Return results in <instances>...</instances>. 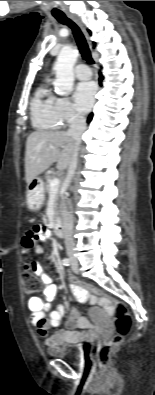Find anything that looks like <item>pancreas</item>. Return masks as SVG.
<instances>
[{
    "label": "pancreas",
    "mask_w": 155,
    "mask_h": 395,
    "mask_svg": "<svg viewBox=\"0 0 155 395\" xmlns=\"http://www.w3.org/2000/svg\"><path fill=\"white\" fill-rule=\"evenodd\" d=\"M45 179H46V185H45V190H46V192H50V190H51V188H50V182H51V180L53 179V176L51 175V174H49V173H46L45 174ZM59 197H60V191L58 190L57 191V194H56V203H55V205L56 206H58V200H59Z\"/></svg>",
    "instance_id": "pancreas-1"
}]
</instances>
